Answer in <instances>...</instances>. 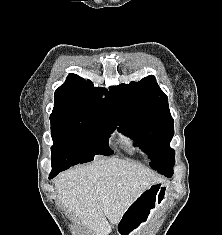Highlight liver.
Masks as SVG:
<instances>
[{
  "label": "liver",
  "mask_w": 222,
  "mask_h": 235,
  "mask_svg": "<svg viewBox=\"0 0 222 235\" xmlns=\"http://www.w3.org/2000/svg\"><path fill=\"white\" fill-rule=\"evenodd\" d=\"M164 182L141 164L116 157L101 158L59 174L58 199L93 235H108L135 199Z\"/></svg>",
  "instance_id": "liver-1"
}]
</instances>
